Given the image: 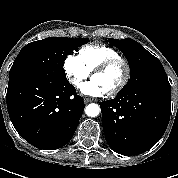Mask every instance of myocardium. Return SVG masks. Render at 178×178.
Returning a JSON list of instances; mask_svg holds the SVG:
<instances>
[{
  "label": "myocardium",
  "instance_id": "obj_1",
  "mask_svg": "<svg viewBox=\"0 0 178 178\" xmlns=\"http://www.w3.org/2000/svg\"><path fill=\"white\" fill-rule=\"evenodd\" d=\"M119 64H121L124 67V76H123L121 82L114 89L107 92V94L109 96L118 94L128 84L130 75H131V67H130L129 62L121 57L112 58V59H109V60L103 62L101 65H99L92 73V78H93L95 75L104 73L107 70H109L110 68H112L113 66H116Z\"/></svg>",
  "mask_w": 178,
  "mask_h": 178
}]
</instances>
